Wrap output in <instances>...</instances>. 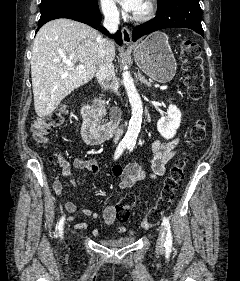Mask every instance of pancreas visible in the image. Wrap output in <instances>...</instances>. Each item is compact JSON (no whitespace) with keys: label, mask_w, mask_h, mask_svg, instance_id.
Returning a JSON list of instances; mask_svg holds the SVG:
<instances>
[{"label":"pancreas","mask_w":240,"mask_h":281,"mask_svg":"<svg viewBox=\"0 0 240 281\" xmlns=\"http://www.w3.org/2000/svg\"><path fill=\"white\" fill-rule=\"evenodd\" d=\"M96 107L95 110L102 116L106 114V108L108 106V103L101 99H96Z\"/></svg>","instance_id":"1"}]
</instances>
